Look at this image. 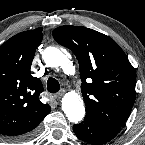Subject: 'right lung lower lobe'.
Segmentation results:
<instances>
[{
    "label": "right lung lower lobe",
    "instance_id": "right-lung-lower-lobe-1",
    "mask_svg": "<svg viewBox=\"0 0 145 145\" xmlns=\"http://www.w3.org/2000/svg\"><path fill=\"white\" fill-rule=\"evenodd\" d=\"M36 132V129H33L25 134H22L20 136H15V137H8L10 139H20V138H29L31 136H33V134Z\"/></svg>",
    "mask_w": 145,
    "mask_h": 145
}]
</instances>
